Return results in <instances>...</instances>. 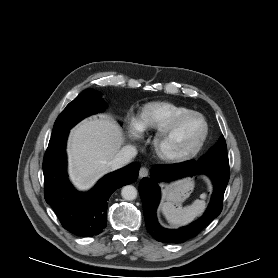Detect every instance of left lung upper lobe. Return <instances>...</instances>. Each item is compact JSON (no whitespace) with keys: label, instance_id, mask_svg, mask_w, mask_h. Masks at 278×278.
I'll return each instance as SVG.
<instances>
[{"label":"left lung upper lobe","instance_id":"1","mask_svg":"<svg viewBox=\"0 0 278 278\" xmlns=\"http://www.w3.org/2000/svg\"><path fill=\"white\" fill-rule=\"evenodd\" d=\"M202 165L229 170L227 146L223 136L197 161Z\"/></svg>","mask_w":278,"mask_h":278}]
</instances>
